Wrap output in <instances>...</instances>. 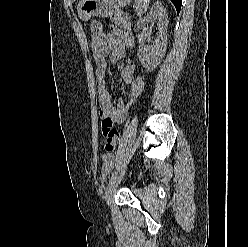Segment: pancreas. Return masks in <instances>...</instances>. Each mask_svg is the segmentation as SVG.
<instances>
[{
    "label": "pancreas",
    "mask_w": 248,
    "mask_h": 247,
    "mask_svg": "<svg viewBox=\"0 0 248 247\" xmlns=\"http://www.w3.org/2000/svg\"><path fill=\"white\" fill-rule=\"evenodd\" d=\"M113 21L115 23V25L120 26L121 28H129L131 23H130V18H128V16L125 14L124 17H115L113 18Z\"/></svg>",
    "instance_id": "1"
}]
</instances>
